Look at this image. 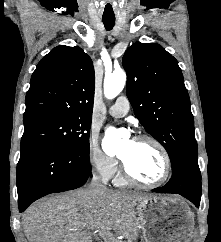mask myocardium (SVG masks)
Masks as SVG:
<instances>
[{
  "instance_id": "obj_1",
  "label": "myocardium",
  "mask_w": 221,
  "mask_h": 242,
  "mask_svg": "<svg viewBox=\"0 0 221 242\" xmlns=\"http://www.w3.org/2000/svg\"><path fill=\"white\" fill-rule=\"evenodd\" d=\"M134 140L135 141H148V142L153 143L157 147V149L160 151V153L162 155L163 162H164L163 174L158 180H156L154 182H145V181L139 179L138 177H136L129 169L125 160L121 156H119L123 175L129 182L139 185L141 187H144V188L159 187L160 185H162L163 183H165L167 181V179L169 178L170 173H171V158H170V155H169L167 149L158 139H156L155 137L148 135V134L138 135L134 138Z\"/></svg>"
}]
</instances>
